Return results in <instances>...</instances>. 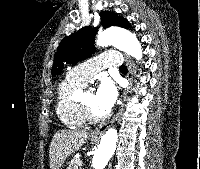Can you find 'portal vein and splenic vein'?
I'll return each mask as SVG.
<instances>
[{
    "label": "portal vein and splenic vein",
    "instance_id": "portal-vein-and-splenic-vein-1",
    "mask_svg": "<svg viewBox=\"0 0 200 169\" xmlns=\"http://www.w3.org/2000/svg\"><path fill=\"white\" fill-rule=\"evenodd\" d=\"M82 165H83V162H82V161H80V162H79V166L81 167Z\"/></svg>",
    "mask_w": 200,
    "mask_h": 169
}]
</instances>
